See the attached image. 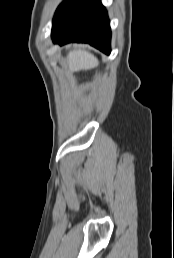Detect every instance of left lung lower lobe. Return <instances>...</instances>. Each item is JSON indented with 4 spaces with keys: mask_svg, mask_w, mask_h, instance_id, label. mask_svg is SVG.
<instances>
[{
    "mask_svg": "<svg viewBox=\"0 0 174 258\" xmlns=\"http://www.w3.org/2000/svg\"><path fill=\"white\" fill-rule=\"evenodd\" d=\"M54 43L84 42L110 54L111 31L100 0H65L52 21Z\"/></svg>",
    "mask_w": 174,
    "mask_h": 258,
    "instance_id": "0a47b994",
    "label": "left lung lower lobe"
}]
</instances>
